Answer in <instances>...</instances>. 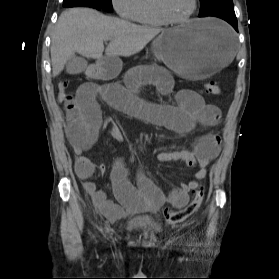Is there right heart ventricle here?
<instances>
[{"mask_svg": "<svg viewBox=\"0 0 279 279\" xmlns=\"http://www.w3.org/2000/svg\"><path fill=\"white\" fill-rule=\"evenodd\" d=\"M134 21L144 26H162L165 22L159 17L154 0H139Z\"/></svg>", "mask_w": 279, "mask_h": 279, "instance_id": "obj_1", "label": "right heart ventricle"}]
</instances>
